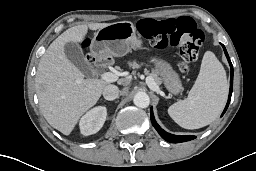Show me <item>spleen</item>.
<instances>
[{"label":"spleen","instance_id":"1","mask_svg":"<svg viewBox=\"0 0 256 171\" xmlns=\"http://www.w3.org/2000/svg\"><path fill=\"white\" fill-rule=\"evenodd\" d=\"M227 96L224 67L213 52L207 51L188 97L171 105L168 114L179 126L198 129L216 120L224 109Z\"/></svg>","mask_w":256,"mask_h":171}]
</instances>
